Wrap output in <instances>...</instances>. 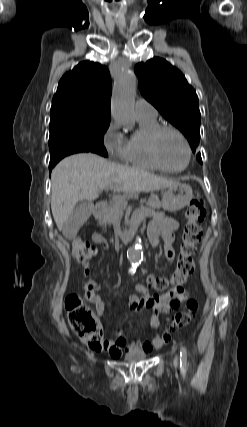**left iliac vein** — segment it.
I'll return each mask as SVG.
<instances>
[{"mask_svg": "<svg viewBox=\"0 0 247 427\" xmlns=\"http://www.w3.org/2000/svg\"><path fill=\"white\" fill-rule=\"evenodd\" d=\"M174 364L177 365V357L174 360Z\"/></svg>", "mask_w": 247, "mask_h": 427, "instance_id": "1", "label": "left iliac vein"}]
</instances>
